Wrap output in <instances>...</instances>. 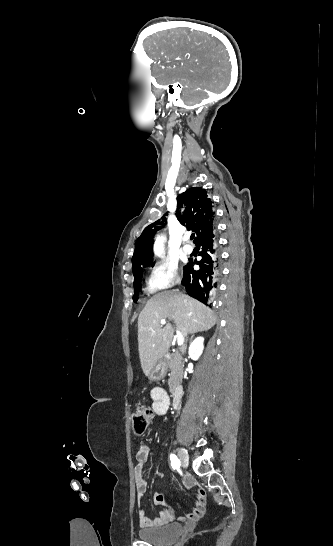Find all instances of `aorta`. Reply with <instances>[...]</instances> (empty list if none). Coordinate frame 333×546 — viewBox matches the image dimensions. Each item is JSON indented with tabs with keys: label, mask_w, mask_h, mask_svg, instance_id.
<instances>
[{
	"label": "aorta",
	"mask_w": 333,
	"mask_h": 546,
	"mask_svg": "<svg viewBox=\"0 0 333 546\" xmlns=\"http://www.w3.org/2000/svg\"><path fill=\"white\" fill-rule=\"evenodd\" d=\"M163 252H164V238L158 237L154 244V253L158 257H161L163 255Z\"/></svg>",
	"instance_id": "aorta-1"
}]
</instances>
